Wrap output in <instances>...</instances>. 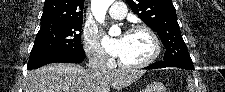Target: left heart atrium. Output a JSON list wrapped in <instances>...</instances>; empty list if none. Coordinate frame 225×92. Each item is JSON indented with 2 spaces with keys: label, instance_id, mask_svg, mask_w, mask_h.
<instances>
[{
  "label": "left heart atrium",
  "instance_id": "1",
  "mask_svg": "<svg viewBox=\"0 0 225 92\" xmlns=\"http://www.w3.org/2000/svg\"><path fill=\"white\" fill-rule=\"evenodd\" d=\"M104 46L107 52L113 56H120L123 47V38L119 37L118 39L111 40L108 37H103Z\"/></svg>",
  "mask_w": 225,
  "mask_h": 92
}]
</instances>
